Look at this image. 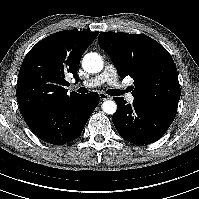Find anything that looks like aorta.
<instances>
[{"label": "aorta", "mask_w": 199, "mask_h": 199, "mask_svg": "<svg viewBox=\"0 0 199 199\" xmlns=\"http://www.w3.org/2000/svg\"><path fill=\"white\" fill-rule=\"evenodd\" d=\"M83 69L88 73H98L103 67V60L97 53L91 52L84 56L82 61ZM102 109L106 114H114L117 109V105L113 100H107L103 103Z\"/></svg>", "instance_id": "1"}]
</instances>
